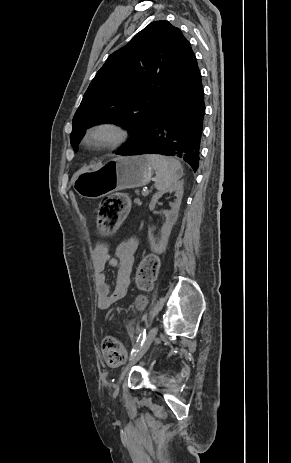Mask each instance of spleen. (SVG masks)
<instances>
[{"label": "spleen", "mask_w": 291, "mask_h": 463, "mask_svg": "<svg viewBox=\"0 0 291 463\" xmlns=\"http://www.w3.org/2000/svg\"><path fill=\"white\" fill-rule=\"evenodd\" d=\"M156 171L155 186L163 191L175 184L183 175V168L178 160L161 155H146Z\"/></svg>", "instance_id": "1"}]
</instances>
